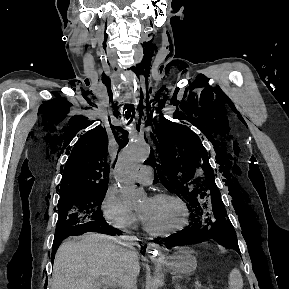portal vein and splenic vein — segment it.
Masks as SVG:
<instances>
[{
  "label": "portal vein and splenic vein",
  "instance_id": "portal-vein-and-splenic-vein-1",
  "mask_svg": "<svg viewBox=\"0 0 289 289\" xmlns=\"http://www.w3.org/2000/svg\"><path fill=\"white\" fill-rule=\"evenodd\" d=\"M104 285H105V288L104 289H107L108 287H114V286H116V283L114 282V281H108V280H104ZM195 287L197 288V289H199V288H201L202 287V284H201V282H199V281H196L195 282Z\"/></svg>",
  "mask_w": 289,
  "mask_h": 289
}]
</instances>
